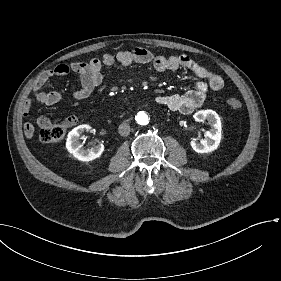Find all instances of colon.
<instances>
[{"label": "colon", "instance_id": "1", "mask_svg": "<svg viewBox=\"0 0 281 281\" xmlns=\"http://www.w3.org/2000/svg\"><path fill=\"white\" fill-rule=\"evenodd\" d=\"M226 102L232 109H238L241 106V102L237 98H228ZM69 122V118H60L40 127L39 141L43 143L60 141L69 128Z\"/></svg>", "mask_w": 281, "mask_h": 281}]
</instances>
